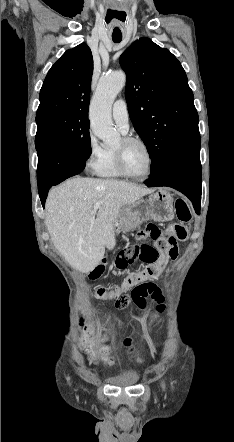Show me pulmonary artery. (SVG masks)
Returning <instances> with one entry per match:
<instances>
[{"label": "pulmonary artery", "instance_id": "pulmonary-artery-1", "mask_svg": "<svg viewBox=\"0 0 234 442\" xmlns=\"http://www.w3.org/2000/svg\"><path fill=\"white\" fill-rule=\"evenodd\" d=\"M113 119L122 133H126L129 129V114L125 100L118 99L112 107Z\"/></svg>", "mask_w": 234, "mask_h": 442}]
</instances>
